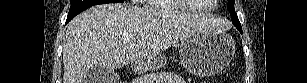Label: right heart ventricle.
I'll use <instances>...</instances> for the list:
<instances>
[{"label": "right heart ventricle", "mask_w": 307, "mask_h": 83, "mask_svg": "<svg viewBox=\"0 0 307 83\" xmlns=\"http://www.w3.org/2000/svg\"><path fill=\"white\" fill-rule=\"evenodd\" d=\"M148 8L156 10L159 13H174L183 11V9L186 10L185 8H182L175 0H152L149 1Z\"/></svg>", "instance_id": "e07e8e85"}]
</instances>
